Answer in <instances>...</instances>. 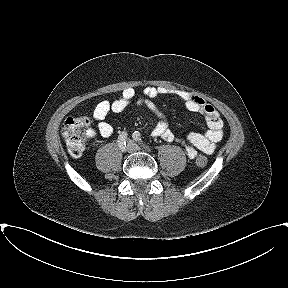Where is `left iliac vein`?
Instances as JSON below:
<instances>
[{"label": "left iliac vein", "instance_id": "4c4485c4", "mask_svg": "<svg viewBox=\"0 0 288 288\" xmlns=\"http://www.w3.org/2000/svg\"><path fill=\"white\" fill-rule=\"evenodd\" d=\"M135 150H139L140 148L137 145H134Z\"/></svg>", "mask_w": 288, "mask_h": 288}]
</instances>
